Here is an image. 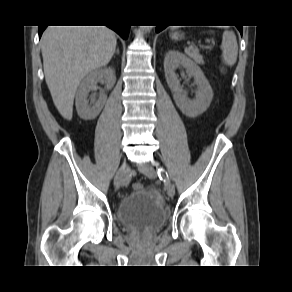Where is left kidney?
<instances>
[{
	"label": "left kidney",
	"mask_w": 292,
	"mask_h": 292,
	"mask_svg": "<svg viewBox=\"0 0 292 292\" xmlns=\"http://www.w3.org/2000/svg\"><path fill=\"white\" fill-rule=\"evenodd\" d=\"M179 66L186 69L188 76L194 77L197 89L196 98L193 100H190L186 91L180 87L175 73ZM164 71L167 84L173 92V99L183 114L194 118L207 110L213 98V91L204 73L195 62L178 51H169L164 59Z\"/></svg>",
	"instance_id": "1"
}]
</instances>
